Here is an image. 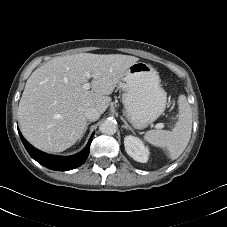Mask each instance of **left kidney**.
I'll use <instances>...</instances> for the list:
<instances>
[{
    "label": "left kidney",
    "instance_id": "obj_1",
    "mask_svg": "<svg viewBox=\"0 0 227 227\" xmlns=\"http://www.w3.org/2000/svg\"><path fill=\"white\" fill-rule=\"evenodd\" d=\"M124 146L127 154L135 161L141 163L148 161L149 150L138 137L132 135L126 136Z\"/></svg>",
    "mask_w": 227,
    "mask_h": 227
}]
</instances>
